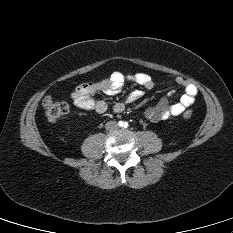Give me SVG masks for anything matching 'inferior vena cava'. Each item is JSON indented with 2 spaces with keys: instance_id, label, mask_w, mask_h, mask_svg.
<instances>
[{
  "instance_id": "obj_1",
  "label": "inferior vena cava",
  "mask_w": 233,
  "mask_h": 233,
  "mask_svg": "<svg viewBox=\"0 0 233 233\" xmlns=\"http://www.w3.org/2000/svg\"><path fill=\"white\" fill-rule=\"evenodd\" d=\"M118 124L115 121H109L106 123V129L111 130L112 128H117Z\"/></svg>"
}]
</instances>
